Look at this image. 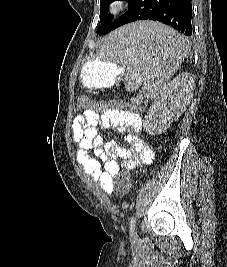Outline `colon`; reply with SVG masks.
Masks as SVG:
<instances>
[{
  "instance_id": "obj_1",
  "label": "colon",
  "mask_w": 227,
  "mask_h": 267,
  "mask_svg": "<svg viewBox=\"0 0 227 267\" xmlns=\"http://www.w3.org/2000/svg\"><path fill=\"white\" fill-rule=\"evenodd\" d=\"M93 104L96 105V110L102 109H123L124 113H130L131 109H135V115L146 112V104H127L126 100H94ZM90 106L87 97H79L77 100L78 108H87ZM115 178V193L123 195L131 188L130 169H119V173H113Z\"/></svg>"
}]
</instances>
